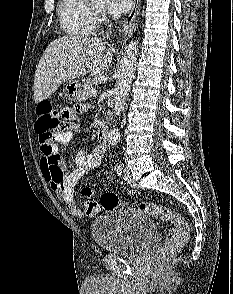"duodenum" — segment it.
I'll list each match as a JSON object with an SVG mask.
<instances>
[{
  "label": "duodenum",
  "mask_w": 233,
  "mask_h": 294,
  "mask_svg": "<svg viewBox=\"0 0 233 294\" xmlns=\"http://www.w3.org/2000/svg\"><path fill=\"white\" fill-rule=\"evenodd\" d=\"M108 134H109L108 127L105 124L100 125L97 130V137L99 142L102 145L108 144Z\"/></svg>",
  "instance_id": "obj_1"
}]
</instances>
